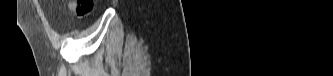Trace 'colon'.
Listing matches in <instances>:
<instances>
[{
    "mask_svg": "<svg viewBox=\"0 0 333 76\" xmlns=\"http://www.w3.org/2000/svg\"><path fill=\"white\" fill-rule=\"evenodd\" d=\"M69 8L73 10L78 17H85L93 11L94 0L70 1Z\"/></svg>",
    "mask_w": 333,
    "mask_h": 76,
    "instance_id": "5ec220e1",
    "label": "colon"
}]
</instances>
